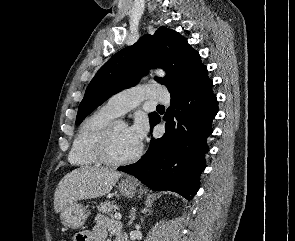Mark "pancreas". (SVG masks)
Returning <instances> with one entry per match:
<instances>
[{"label":"pancreas","instance_id":"cf45deb5","mask_svg":"<svg viewBox=\"0 0 295 241\" xmlns=\"http://www.w3.org/2000/svg\"><path fill=\"white\" fill-rule=\"evenodd\" d=\"M117 206L113 201L102 202L97 206L99 212L105 213L109 216H112V211L115 210Z\"/></svg>","mask_w":295,"mask_h":241}]
</instances>
